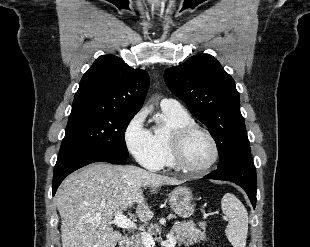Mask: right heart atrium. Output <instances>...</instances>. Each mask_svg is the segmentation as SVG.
Returning a JSON list of instances; mask_svg holds the SVG:
<instances>
[{
  "label": "right heart atrium",
  "mask_w": 310,
  "mask_h": 247,
  "mask_svg": "<svg viewBox=\"0 0 310 247\" xmlns=\"http://www.w3.org/2000/svg\"><path fill=\"white\" fill-rule=\"evenodd\" d=\"M146 111H139L124 130V141L128 151L142 166L155 170L159 166L152 132L145 125ZM158 170V169H157Z\"/></svg>",
  "instance_id": "d8ad5b80"
}]
</instances>
